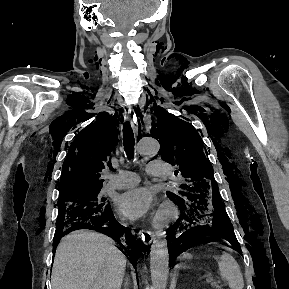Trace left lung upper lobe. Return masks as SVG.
<instances>
[{
    "label": "left lung upper lobe",
    "mask_w": 289,
    "mask_h": 289,
    "mask_svg": "<svg viewBox=\"0 0 289 289\" xmlns=\"http://www.w3.org/2000/svg\"><path fill=\"white\" fill-rule=\"evenodd\" d=\"M158 123L152 127L151 136L158 139L162 158L178 166L181 177L179 190L169 192L172 200H183L191 195L209 199L219 196V188L213 176V167L206 158L207 150L199 133L188 122L168 114L163 108L155 110Z\"/></svg>",
    "instance_id": "1"
}]
</instances>
